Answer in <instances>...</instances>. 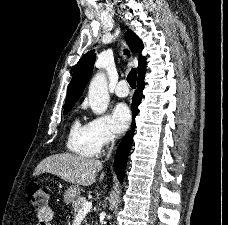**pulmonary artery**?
Here are the masks:
<instances>
[{"label":"pulmonary artery","mask_w":228,"mask_h":225,"mask_svg":"<svg viewBox=\"0 0 228 225\" xmlns=\"http://www.w3.org/2000/svg\"><path fill=\"white\" fill-rule=\"evenodd\" d=\"M115 94L120 98H125L128 96L129 88H128L127 83L124 80L120 81L117 84V86L115 88Z\"/></svg>","instance_id":"pulmonary-artery-1"}]
</instances>
